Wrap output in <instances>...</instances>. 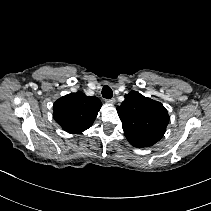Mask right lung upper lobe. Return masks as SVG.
<instances>
[{"label":"right lung upper lobe","mask_w":211,"mask_h":211,"mask_svg":"<svg viewBox=\"0 0 211 211\" xmlns=\"http://www.w3.org/2000/svg\"><path fill=\"white\" fill-rule=\"evenodd\" d=\"M101 106L97 97H88L82 92L70 93L54 103L53 116L66 132L78 134L93 124Z\"/></svg>","instance_id":"cb5924a9"}]
</instances>
